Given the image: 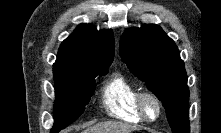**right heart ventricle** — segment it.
I'll return each instance as SVG.
<instances>
[{"mask_svg": "<svg viewBox=\"0 0 221 133\" xmlns=\"http://www.w3.org/2000/svg\"><path fill=\"white\" fill-rule=\"evenodd\" d=\"M140 88L121 74L114 75L102 90V103L107 113L117 119L139 123L142 121L136 107Z\"/></svg>", "mask_w": 221, "mask_h": 133, "instance_id": "obj_1", "label": "right heart ventricle"}]
</instances>
